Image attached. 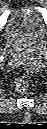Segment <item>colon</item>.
Returning a JSON list of instances; mask_svg holds the SVG:
<instances>
[{
    "mask_svg": "<svg viewBox=\"0 0 47 129\" xmlns=\"http://www.w3.org/2000/svg\"><path fill=\"white\" fill-rule=\"evenodd\" d=\"M30 87V78L28 74L20 76L16 81V89L20 92H25Z\"/></svg>",
    "mask_w": 47,
    "mask_h": 129,
    "instance_id": "colon-1",
    "label": "colon"
}]
</instances>
